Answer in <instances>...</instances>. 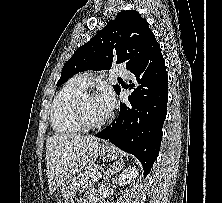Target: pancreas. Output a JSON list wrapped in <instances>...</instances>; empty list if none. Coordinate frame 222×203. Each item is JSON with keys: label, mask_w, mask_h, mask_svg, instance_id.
<instances>
[{"label": "pancreas", "mask_w": 222, "mask_h": 203, "mask_svg": "<svg viewBox=\"0 0 222 203\" xmlns=\"http://www.w3.org/2000/svg\"><path fill=\"white\" fill-rule=\"evenodd\" d=\"M98 169H99L98 166H93V167H91L88 171H86V172L84 173V175L82 176V178L80 179L81 186H85V185L90 184V181H91L94 177L99 178L100 175H99V173H98Z\"/></svg>", "instance_id": "1"}]
</instances>
